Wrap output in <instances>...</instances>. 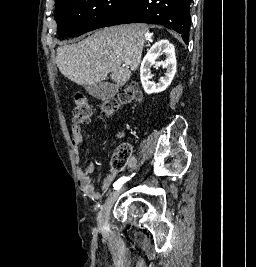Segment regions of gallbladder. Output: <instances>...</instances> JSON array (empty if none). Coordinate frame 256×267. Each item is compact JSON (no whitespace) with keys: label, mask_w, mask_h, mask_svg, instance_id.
Segmentation results:
<instances>
[{"label":"gallbladder","mask_w":256,"mask_h":267,"mask_svg":"<svg viewBox=\"0 0 256 267\" xmlns=\"http://www.w3.org/2000/svg\"><path fill=\"white\" fill-rule=\"evenodd\" d=\"M86 92L98 98V100H111L116 96L118 90L113 84H107V82H99V84H92V86H84Z\"/></svg>","instance_id":"gallbladder-1"}]
</instances>
